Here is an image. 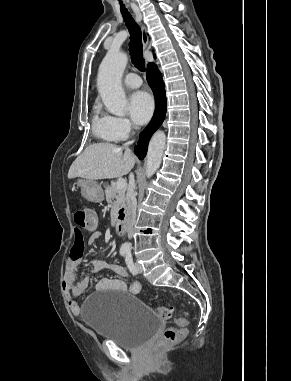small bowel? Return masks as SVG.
Masks as SVG:
<instances>
[{
  "mask_svg": "<svg viewBox=\"0 0 291 381\" xmlns=\"http://www.w3.org/2000/svg\"><path fill=\"white\" fill-rule=\"evenodd\" d=\"M100 237L99 232H93L87 239L89 245L94 244ZM83 244V240L79 233H75V243L67 258L65 265V273L63 279V291L66 296L67 302L73 314H79L81 306L77 301V297L80 296L88 287V279H77V271L80 263V248ZM108 269L114 272L118 277L124 278L127 276L125 268L118 264L109 265ZM97 291H128L132 294H138L141 290V283L138 280H134L129 286L122 279L102 278L97 282Z\"/></svg>",
  "mask_w": 291,
  "mask_h": 381,
  "instance_id": "obj_1",
  "label": "small bowel"
}]
</instances>
